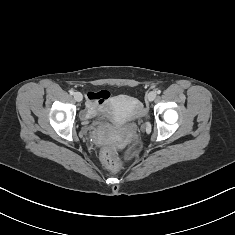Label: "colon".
I'll return each mask as SVG.
<instances>
[{
  "instance_id": "5ec220e1",
  "label": "colon",
  "mask_w": 235,
  "mask_h": 235,
  "mask_svg": "<svg viewBox=\"0 0 235 235\" xmlns=\"http://www.w3.org/2000/svg\"><path fill=\"white\" fill-rule=\"evenodd\" d=\"M126 102H129L128 100ZM106 166L110 170H119L124 165V160L122 157L115 155L111 152H107L104 158Z\"/></svg>"
}]
</instances>
